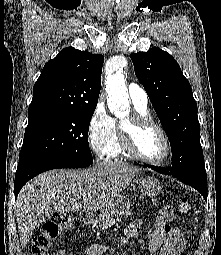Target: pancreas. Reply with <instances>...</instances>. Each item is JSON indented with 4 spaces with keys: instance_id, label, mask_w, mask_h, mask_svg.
I'll use <instances>...</instances> for the list:
<instances>
[{
    "instance_id": "1",
    "label": "pancreas",
    "mask_w": 221,
    "mask_h": 255,
    "mask_svg": "<svg viewBox=\"0 0 221 255\" xmlns=\"http://www.w3.org/2000/svg\"><path fill=\"white\" fill-rule=\"evenodd\" d=\"M125 215L126 217L131 215V210H129V205L127 206L126 208V211H125ZM117 221H120V218L117 217V219H113L112 217H106L102 220L101 224H100V227L104 230V229H107L108 227L114 225Z\"/></svg>"
}]
</instances>
